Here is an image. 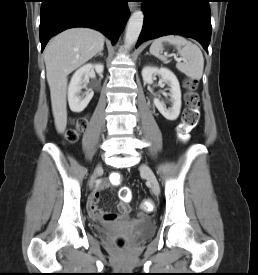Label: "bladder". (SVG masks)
Wrapping results in <instances>:
<instances>
[{
  "mask_svg": "<svg viewBox=\"0 0 258 275\" xmlns=\"http://www.w3.org/2000/svg\"><path fill=\"white\" fill-rule=\"evenodd\" d=\"M115 226H130L133 227L134 233L138 237H146L153 233L154 223L151 219L137 220L131 216H126L118 221H110L103 224L102 231H107Z\"/></svg>",
  "mask_w": 258,
  "mask_h": 275,
  "instance_id": "bladder-1",
  "label": "bladder"
}]
</instances>
